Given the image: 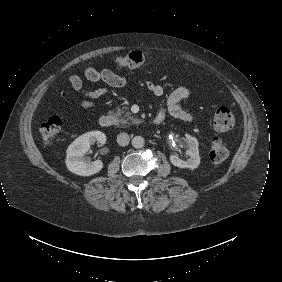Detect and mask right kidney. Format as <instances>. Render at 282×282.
Here are the masks:
<instances>
[{
	"mask_svg": "<svg viewBox=\"0 0 282 282\" xmlns=\"http://www.w3.org/2000/svg\"><path fill=\"white\" fill-rule=\"evenodd\" d=\"M106 143V135L101 131L87 132L76 138L67 148L65 160L69 171L80 176H90L98 173L103 168L101 160H84V154L90 149L94 142Z\"/></svg>",
	"mask_w": 282,
	"mask_h": 282,
	"instance_id": "right-kidney-1",
	"label": "right kidney"
}]
</instances>
